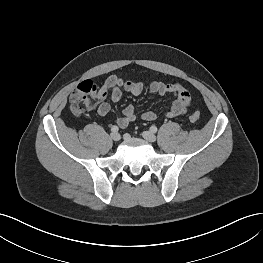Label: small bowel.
Instances as JSON below:
<instances>
[{
    "mask_svg": "<svg viewBox=\"0 0 263 263\" xmlns=\"http://www.w3.org/2000/svg\"><path fill=\"white\" fill-rule=\"evenodd\" d=\"M144 90V84L140 81L124 80L119 75H110L99 88V95L96 99V111L100 116H106L110 112V104L118 102L122 98L123 92H129L135 96L140 95ZM151 93L165 96L171 94L175 97L171 107L165 112L168 118L181 116L186 113L190 106L191 98L187 89L179 83H163L161 81H152L149 85ZM144 121H154L157 114L154 111H145L140 116L132 105L123 109V115L116 120L120 127H126L138 118Z\"/></svg>",
    "mask_w": 263,
    "mask_h": 263,
    "instance_id": "small-bowel-1",
    "label": "small bowel"
}]
</instances>
